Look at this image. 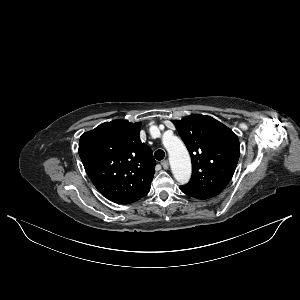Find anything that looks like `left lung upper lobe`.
I'll list each match as a JSON object with an SVG mask.
<instances>
[{"instance_id":"obj_1","label":"left lung upper lobe","mask_w":300,"mask_h":300,"mask_svg":"<svg viewBox=\"0 0 300 300\" xmlns=\"http://www.w3.org/2000/svg\"><path fill=\"white\" fill-rule=\"evenodd\" d=\"M173 123L192 160L191 180L182 187L205 197L220 194L237 166V135L210 116L191 115Z\"/></svg>"}]
</instances>
